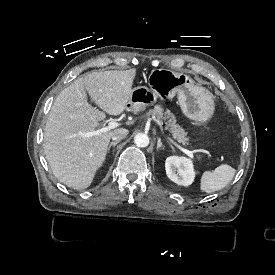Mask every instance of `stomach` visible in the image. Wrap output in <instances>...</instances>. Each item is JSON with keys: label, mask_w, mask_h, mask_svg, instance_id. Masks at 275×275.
Masks as SVG:
<instances>
[{"label": "stomach", "mask_w": 275, "mask_h": 275, "mask_svg": "<svg viewBox=\"0 0 275 275\" xmlns=\"http://www.w3.org/2000/svg\"><path fill=\"white\" fill-rule=\"evenodd\" d=\"M143 79L149 88L138 86L131 90L125 106L127 111L141 112L154 105L157 98L166 100L177 95L181 110L189 119L205 123L214 114L212 93L187 74L148 67L143 72Z\"/></svg>", "instance_id": "obj_1"}]
</instances>
